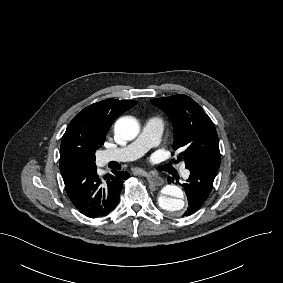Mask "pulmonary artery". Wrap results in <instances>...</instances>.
I'll return each instance as SVG.
<instances>
[{
  "label": "pulmonary artery",
  "mask_w": 283,
  "mask_h": 283,
  "mask_svg": "<svg viewBox=\"0 0 283 283\" xmlns=\"http://www.w3.org/2000/svg\"><path fill=\"white\" fill-rule=\"evenodd\" d=\"M164 123L159 117L149 118L138 138L127 147H119L114 151L117 160L129 161L139 156L147 155L151 151V146L160 142L163 133ZM184 176H189V171H184Z\"/></svg>",
  "instance_id": "pulmonary-artery-1"
}]
</instances>
